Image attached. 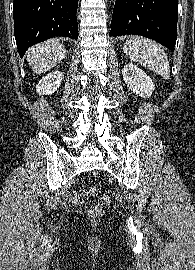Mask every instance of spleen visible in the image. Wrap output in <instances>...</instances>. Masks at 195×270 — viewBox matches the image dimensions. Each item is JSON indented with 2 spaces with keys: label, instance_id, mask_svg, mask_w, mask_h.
Segmentation results:
<instances>
[{
  "label": "spleen",
  "instance_id": "3e777b00",
  "mask_svg": "<svg viewBox=\"0 0 195 270\" xmlns=\"http://www.w3.org/2000/svg\"><path fill=\"white\" fill-rule=\"evenodd\" d=\"M123 50L134 62L151 69L164 79L170 78L167 55L157 43L143 37H132L124 43Z\"/></svg>",
  "mask_w": 195,
  "mask_h": 270
}]
</instances>
